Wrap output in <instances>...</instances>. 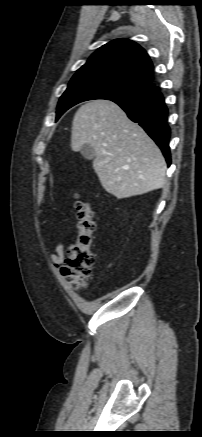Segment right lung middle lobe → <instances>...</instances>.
I'll list each match as a JSON object with an SVG mask.
<instances>
[{
	"instance_id": "dd1d6c3e",
	"label": "right lung middle lobe",
	"mask_w": 202,
	"mask_h": 437,
	"mask_svg": "<svg viewBox=\"0 0 202 437\" xmlns=\"http://www.w3.org/2000/svg\"><path fill=\"white\" fill-rule=\"evenodd\" d=\"M154 84L109 71L77 72L58 102L56 120L70 107L92 99L115 100L133 97L150 90Z\"/></svg>"
}]
</instances>
